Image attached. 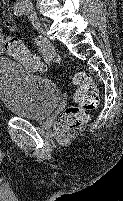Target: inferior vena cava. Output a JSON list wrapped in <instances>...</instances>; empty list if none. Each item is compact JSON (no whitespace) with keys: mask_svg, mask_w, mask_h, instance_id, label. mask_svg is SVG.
I'll return each instance as SVG.
<instances>
[{"mask_svg":"<svg viewBox=\"0 0 123 201\" xmlns=\"http://www.w3.org/2000/svg\"><path fill=\"white\" fill-rule=\"evenodd\" d=\"M20 2L25 6H31V0H20Z\"/></svg>","mask_w":123,"mask_h":201,"instance_id":"obj_1","label":"inferior vena cava"}]
</instances>
